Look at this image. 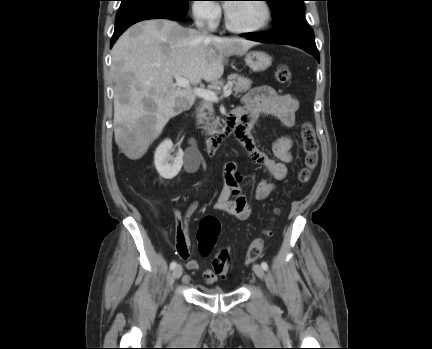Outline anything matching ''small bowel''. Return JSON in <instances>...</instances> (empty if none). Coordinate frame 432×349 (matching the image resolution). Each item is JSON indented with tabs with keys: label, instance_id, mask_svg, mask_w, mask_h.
Segmentation results:
<instances>
[{
	"label": "small bowel",
	"instance_id": "small-bowel-1",
	"mask_svg": "<svg viewBox=\"0 0 432 349\" xmlns=\"http://www.w3.org/2000/svg\"><path fill=\"white\" fill-rule=\"evenodd\" d=\"M243 105L237 110L241 115L240 123L234 131L235 138L244 150L249 160L262 167L270 179H261L256 182L253 194L256 200H265L273 191L272 180H283L288 173L287 165L293 161V140L289 136H281L273 142L274 158L261 151L251 134V130L260 115H268L277 118L284 126L293 127L295 116L299 109V102L292 94L278 93L270 86L252 88L244 97ZM200 164V158L194 151H188L185 156V170L195 172ZM224 185L215 203L216 210L234 216L239 220H247L252 208L246 195L242 192V184L245 176L239 171L236 161H228L223 167ZM197 208V202L188 206V212L193 213ZM177 234L176 245L179 256L188 260L190 257L189 244L184 232L180 213L176 212ZM187 269L197 270L199 263L196 259L187 261ZM203 278L208 284L217 280L215 272L208 269L203 272Z\"/></svg>",
	"mask_w": 432,
	"mask_h": 349
}]
</instances>
